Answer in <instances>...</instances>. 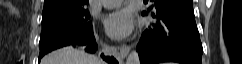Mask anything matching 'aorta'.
I'll list each match as a JSON object with an SVG mask.
<instances>
[{"label":"aorta","mask_w":242,"mask_h":64,"mask_svg":"<svg viewBox=\"0 0 242 64\" xmlns=\"http://www.w3.org/2000/svg\"><path fill=\"white\" fill-rule=\"evenodd\" d=\"M126 64H140L138 52L133 50L127 57Z\"/></svg>","instance_id":"aorta-1"}]
</instances>
